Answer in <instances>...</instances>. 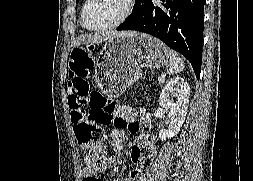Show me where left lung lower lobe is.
<instances>
[{
  "label": "left lung lower lobe",
  "mask_w": 253,
  "mask_h": 181,
  "mask_svg": "<svg viewBox=\"0 0 253 181\" xmlns=\"http://www.w3.org/2000/svg\"><path fill=\"white\" fill-rule=\"evenodd\" d=\"M205 0H138L117 30H136L183 54L200 77Z\"/></svg>",
  "instance_id": "0a47b994"
}]
</instances>
